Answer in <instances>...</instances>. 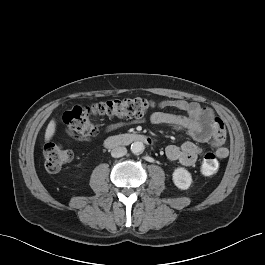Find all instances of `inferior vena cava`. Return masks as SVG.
Instances as JSON below:
<instances>
[{
    "label": "inferior vena cava",
    "instance_id": "1",
    "mask_svg": "<svg viewBox=\"0 0 265 265\" xmlns=\"http://www.w3.org/2000/svg\"><path fill=\"white\" fill-rule=\"evenodd\" d=\"M126 153H127L126 147L118 146L112 149L111 156L114 158H119L126 155Z\"/></svg>",
    "mask_w": 265,
    "mask_h": 265
}]
</instances>
